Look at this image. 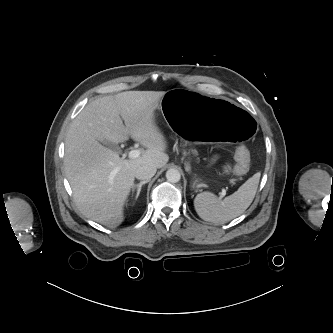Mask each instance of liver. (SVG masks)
Instances as JSON below:
<instances>
[{"label":"liver","instance_id":"obj_1","mask_svg":"<svg viewBox=\"0 0 333 333\" xmlns=\"http://www.w3.org/2000/svg\"><path fill=\"white\" fill-rule=\"evenodd\" d=\"M164 91H127L90 102L66 134L64 170L74 201L88 218L115 228L124 220L123 207L141 165L164 167L166 141L154 114ZM123 121L125 125L123 124ZM129 136L147 150L135 159H122L103 143Z\"/></svg>","mask_w":333,"mask_h":333}]
</instances>
